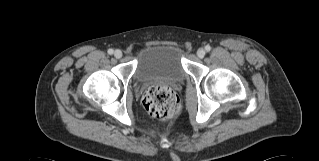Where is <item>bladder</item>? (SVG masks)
Listing matches in <instances>:
<instances>
[{
  "mask_svg": "<svg viewBox=\"0 0 319 161\" xmlns=\"http://www.w3.org/2000/svg\"><path fill=\"white\" fill-rule=\"evenodd\" d=\"M136 76L139 81L184 79L183 50L177 44H151L143 47L136 60Z\"/></svg>",
  "mask_w": 319,
  "mask_h": 161,
  "instance_id": "obj_1",
  "label": "bladder"
}]
</instances>
